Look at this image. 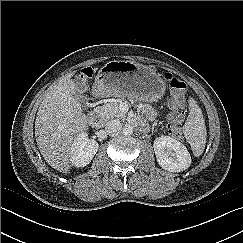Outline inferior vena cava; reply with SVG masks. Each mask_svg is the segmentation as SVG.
Returning <instances> with one entry per match:
<instances>
[{
    "mask_svg": "<svg viewBox=\"0 0 243 243\" xmlns=\"http://www.w3.org/2000/svg\"><path fill=\"white\" fill-rule=\"evenodd\" d=\"M122 130V124L118 119L109 120L106 123L105 131L109 135H117Z\"/></svg>",
    "mask_w": 243,
    "mask_h": 243,
    "instance_id": "inferior-vena-cava-1",
    "label": "inferior vena cava"
}]
</instances>
